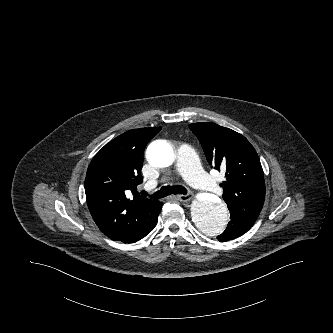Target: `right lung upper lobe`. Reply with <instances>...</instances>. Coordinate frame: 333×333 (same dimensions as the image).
<instances>
[{
	"label": "right lung upper lobe",
	"instance_id": "cb5924a9",
	"mask_svg": "<svg viewBox=\"0 0 333 333\" xmlns=\"http://www.w3.org/2000/svg\"><path fill=\"white\" fill-rule=\"evenodd\" d=\"M161 127L129 130L107 143L92 159L85 178L89 211L109 238L124 237L158 200L139 195L143 152ZM133 194V198L127 197Z\"/></svg>",
	"mask_w": 333,
	"mask_h": 333
}]
</instances>
